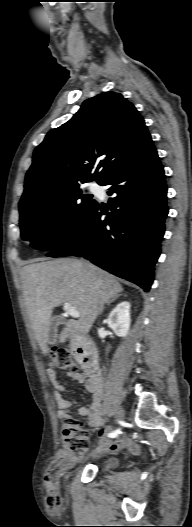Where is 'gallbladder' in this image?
Listing matches in <instances>:
<instances>
[{
  "label": "gallbladder",
  "instance_id": "gallbladder-1",
  "mask_svg": "<svg viewBox=\"0 0 192 527\" xmlns=\"http://www.w3.org/2000/svg\"><path fill=\"white\" fill-rule=\"evenodd\" d=\"M64 323V318L62 316H55L49 322L48 332H47V344L53 345L57 341L58 326Z\"/></svg>",
  "mask_w": 192,
  "mask_h": 527
}]
</instances>
